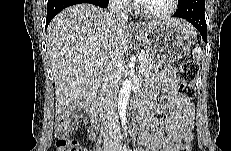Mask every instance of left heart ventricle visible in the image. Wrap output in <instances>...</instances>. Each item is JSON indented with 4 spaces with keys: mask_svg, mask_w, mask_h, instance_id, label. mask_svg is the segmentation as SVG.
<instances>
[{
    "mask_svg": "<svg viewBox=\"0 0 231 151\" xmlns=\"http://www.w3.org/2000/svg\"><path fill=\"white\" fill-rule=\"evenodd\" d=\"M170 0H145L141 2L144 9L151 12L164 11L169 7Z\"/></svg>",
    "mask_w": 231,
    "mask_h": 151,
    "instance_id": "b2bd125f",
    "label": "left heart ventricle"
}]
</instances>
